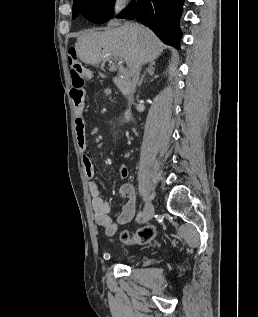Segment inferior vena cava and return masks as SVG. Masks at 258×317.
Wrapping results in <instances>:
<instances>
[{"label": "inferior vena cava", "mask_w": 258, "mask_h": 317, "mask_svg": "<svg viewBox=\"0 0 258 317\" xmlns=\"http://www.w3.org/2000/svg\"><path fill=\"white\" fill-rule=\"evenodd\" d=\"M142 62L140 60H137L136 64H133L131 68V74H132V80L130 84V92L133 94L135 92V88L137 86V82L139 80V74L141 70ZM130 100H133L132 96H130Z\"/></svg>", "instance_id": "1"}]
</instances>
